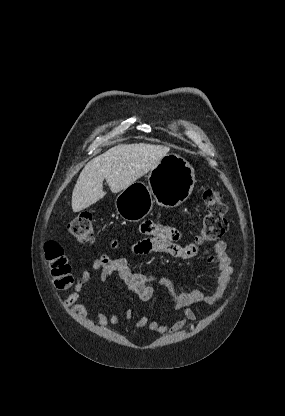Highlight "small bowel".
Here are the masks:
<instances>
[{
	"label": "small bowel",
	"instance_id": "obj_1",
	"mask_svg": "<svg viewBox=\"0 0 285 416\" xmlns=\"http://www.w3.org/2000/svg\"><path fill=\"white\" fill-rule=\"evenodd\" d=\"M140 229L145 237L133 245L132 250L136 254L164 253L176 259L188 260L199 253L200 248L197 242L186 245L179 244L182 233L175 227L164 225L159 221H145ZM226 250V242L217 241L212 248V254L207 257V262L217 271L215 286L208 293L199 289L181 291L166 278L158 279L152 275L133 272L128 262L123 258L112 259L103 255L93 261L92 269L99 274L101 282H106L111 277H117L129 291L144 302H148L154 297L155 284L165 291L173 309L180 312V317L172 323H160L158 320H150L144 315L134 323L133 327L135 329L147 327L151 332L168 335L178 332L188 322L196 321L197 316L192 309L193 306L200 303L215 305L224 297L233 273L231 259ZM90 280L91 272L83 270L76 279L73 292L63 302L81 319H86L88 316V310L82 303L81 294L89 285ZM133 315L131 309H126L124 312V317L128 321L133 318ZM96 317L101 327L115 326L120 320L115 313L106 315L100 311L96 312Z\"/></svg>",
	"mask_w": 285,
	"mask_h": 416
}]
</instances>
